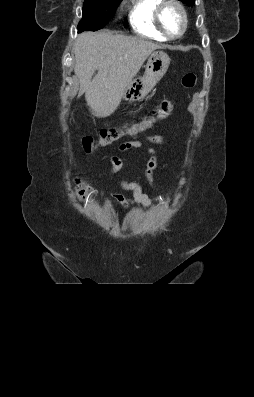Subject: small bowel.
Wrapping results in <instances>:
<instances>
[{
	"mask_svg": "<svg viewBox=\"0 0 254 397\" xmlns=\"http://www.w3.org/2000/svg\"><path fill=\"white\" fill-rule=\"evenodd\" d=\"M146 140L147 142L153 144H162L165 141L164 137L158 134L147 135ZM137 148H145L148 151V153L151 154V158L148 161L147 169L145 171V176L147 181L150 183V185L156 187V183L154 179V170L157 167L158 159L155 149L140 141L125 142L121 144L119 147L120 151H126L129 149H137ZM122 165L123 163L120 158L116 156L111 158V169H110L111 175L116 180L117 184L121 189L126 191H131L133 193L132 198L126 197L121 193H117V192L112 193L113 196L123 205V207L126 210L131 211L134 207L149 208L153 204V202L159 201L160 199L159 197L150 198L149 196H147L142 191L141 186L137 182H130L121 178L118 175V172L122 168Z\"/></svg>",
	"mask_w": 254,
	"mask_h": 397,
	"instance_id": "obj_1",
	"label": "small bowel"
}]
</instances>
